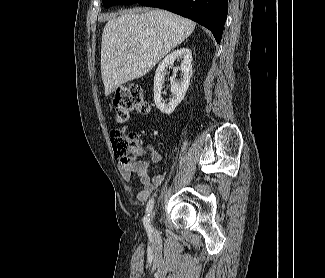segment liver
<instances>
[{"instance_id": "obj_1", "label": "liver", "mask_w": 325, "mask_h": 278, "mask_svg": "<svg viewBox=\"0 0 325 278\" xmlns=\"http://www.w3.org/2000/svg\"><path fill=\"white\" fill-rule=\"evenodd\" d=\"M195 26L190 19L161 9L136 8L111 17L101 43L105 95L147 74Z\"/></svg>"}]
</instances>
